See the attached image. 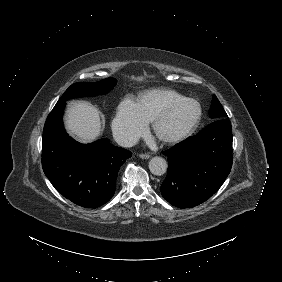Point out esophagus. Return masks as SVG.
<instances>
[{"instance_id": "1", "label": "esophagus", "mask_w": 282, "mask_h": 282, "mask_svg": "<svg viewBox=\"0 0 282 282\" xmlns=\"http://www.w3.org/2000/svg\"><path fill=\"white\" fill-rule=\"evenodd\" d=\"M139 157L142 159H148L150 158V154H140Z\"/></svg>"}]
</instances>
